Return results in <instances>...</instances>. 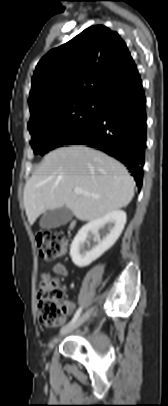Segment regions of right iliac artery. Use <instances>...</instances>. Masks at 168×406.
Listing matches in <instances>:
<instances>
[{"mask_svg": "<svg viewBox=\"0 0 168 406\" xmlns=\"http://www.w3.org/2000/svg\"><path fill=\"white\" fill-rule=\"evenodd\" d=\"M81 311H82V307H80V308L76 311V313L74 314L72 320L69 322L68 325L72 324L73 322H75V321L78 319V317H79L80 314H81Z\"/></svg>", "mask_w": 168, "mask_h": 406, "instance_id": "obj_1", "label": "right iliac artery"}]
</instances>
